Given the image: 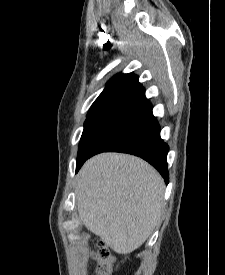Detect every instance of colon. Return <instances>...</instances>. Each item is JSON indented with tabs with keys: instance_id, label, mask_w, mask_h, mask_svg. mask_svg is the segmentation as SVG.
I'll use <instances>...</instances> for the list:
<instances>
[{
	"instance_id": "5ec220e1",
	"label": "colon",
	"mask_w": 225,
	"mask_h": 275,
	"mask_svg": "<svg viewBox=\"0 0 225 275\" xmlns=\"http://www.w3.org/2000/svg\"><path fill=\"white\" fill-rule=\"evenodd\" d=\"M98 262L97 271L99 275H110L114 263V258L104 243L98 245L96 253Z\"/></svg>"
}]
</instances>
